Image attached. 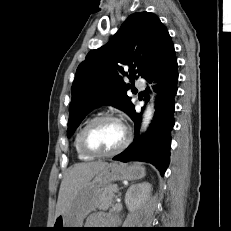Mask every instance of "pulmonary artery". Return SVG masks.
I'll list each match as a JSON object with an SVG mask.
<instances>
[{
    "label": "pulmonary artery",
    "instance_id": "obj_1",
    "mask_svg": "<svg viewBox=\"0 0 231 231\" xmlns=\"http://www.w3.org/2000/svg\"><path fill=\"white\" fill-rule=\"evenodd\" d=\"M135 87L139 90H143L145 88V84L142 80H137L135 82Z\"/></svg>",
    "mask_w": 231,
    "mask_h": 231
}]
</instances>
